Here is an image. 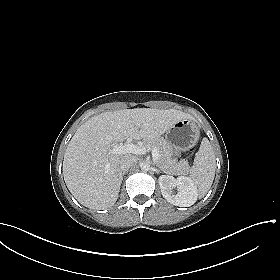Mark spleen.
<instances>
[{
    "label": "spleen",
    "mask_w": 280,
    "mask_h": 280,
    "mask_svg": "<svg viewBox=\"0 0 280 280\" xmlns=\"http://www.w3.org/2000/svg\"><path fill=\"white\" fill-rule=\"evenodd\" d=\"M215 169V154L209 140L203 138L190 170V177L198 188L200 198L204 197L210 189L215 177Z\"/></svg>",
    "instance_id": "spleen-1"
}]
</instances>
